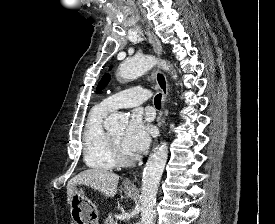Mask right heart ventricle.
I'll list each match as a JSON object with an SVG mask.
<instances>
[{"label":"right heart ventricle","instance_id":"obj_1","mask_svg":"<svg viewBox=\"0 0 275 224\" xmlns=\"http://www.w3.org/2000/svg\"><path fill=\"white\" fill-rule=\"evenodd\" d=\"M108 111L100 105L89 113L83 130V157L85 164L96 170H111L116 167L107 145L103 121Z\"/></svg>","mask_w":275,"mask_h":224}]
</instances>
